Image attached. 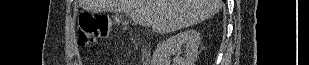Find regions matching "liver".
<instances>
[{
  "mask_svg": "<svg viewBox=\"0 0 309 65\" xmlns=\"http://www.w3.org/2000/svg\"><path fill=\"white\" fill-rule=\"evenodd\" d=\"M80 6L94 13L124 12L135 24L165 34L211 18L221 0H81Z\"/></svg>",
  "mask_w": 309,
  "mask_h": 65,
  "instance_id": "6515ba94",
  "label": "liver"
}]
</instances>
